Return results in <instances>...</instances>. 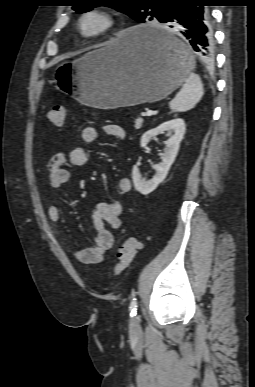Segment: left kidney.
<instances>
[{"mask_svg":"<svg viewBox=\"0 0 255 387\" xmlns=\"http://www.w3.org/2000/svg\"><path fill=\"white\" fill-rule=\"evenodd\" d=\"M185 122L181 118H176L160 124L154 129L145 132L141 138L140 146L144 148L152 137L167 132L169 139L164 142L166 145L164 153H160L162 161L154 166L156 174L150 180H145L139 170L138 165H135L132 170V179L135 189L143 195H147L154 191L157 186L166 178L168 171L173 164L180 142L185 134Z\"/></svg>","mask_w":255,"mask_h":387,"instance_id":"1","label":"left kidney"}]
</instances>
